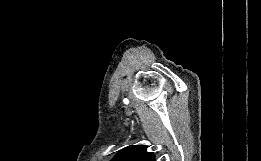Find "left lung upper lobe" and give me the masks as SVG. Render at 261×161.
Returning <instances> with one entry per match:
<instances>
[{"label":"left lung upper lobe","mask_w":261,"mask_h":161,"mask_svg":"<svg viewBox=\"0 0 261 161\" xmlns=\"http://www.w3.org/2000/svg\"><path fill=\"white\" fill-rule=\"evenodd\" d=\"M112 161H154V155L145 146H129L120 151Z\"/></svg>","instance_id":"5c2ea615"}]
</instances>
